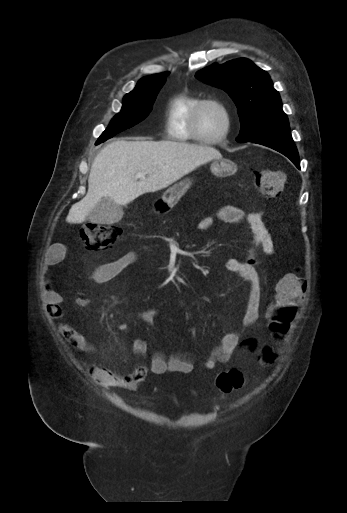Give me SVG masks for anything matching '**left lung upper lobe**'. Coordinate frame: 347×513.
Listing matches in <instances>:
<instances>
[{"label":"left lung upper lobe","instance_id":"obj_1","mask_svg":"<svg viewBox=\"0 0 347 513\" xmlns=\"http://www.w3.org/2000/svg\"><path fill=\"white\" fill-rule=\"evenodd\" d=\"M196 77L225 90L238 108L241 122L238 142L278 132H289L279 93L268 73L246 58L222 65L213 64L197 72Z\"/></svg>","mask_w":347,"mask_h":513}]
</instances>
